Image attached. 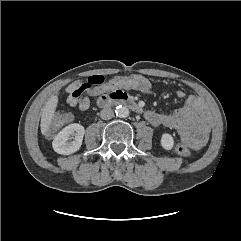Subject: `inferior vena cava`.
<instances>
[{
	"mask_svg": "<svg viewBox=\"0 0 241 241\" xmlns=\"http://www.w3.org/2000/svg\"><path fill=\"white\" fill-rule=\"evenodd\" d=\"M113 116H114V112H113V109L110 107L104 108L100 112V117L103 120L111 119Z\"/></svg>",
	"mask_w": 241,
	"mask_h": 241,
	"instance_id": "obj_1",
	"label": "inferior vena cava"
}]
</instances>
